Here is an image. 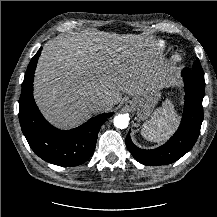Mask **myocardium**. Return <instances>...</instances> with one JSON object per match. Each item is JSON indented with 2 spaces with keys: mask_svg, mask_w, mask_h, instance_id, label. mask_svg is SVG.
Wrapping results in <instances>:
<instances>
[{
  "mask_svg": "<svg viewBox=\"0 0 217 217\" xmlns=\"http://www.w3.org/2000/svg\"><path fill=\"white\" fill-rule=\"evenodd\" d=\"M181 61H182V57L179 54L174 55L172 58V62L174 65L179 64Z\"/></svg>",
  "mask_w": 217,
  "mask_h": 217,
  "instance_id": "f54148a6",
  "label": "myocardium"
}]
</instances>
